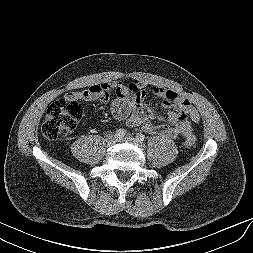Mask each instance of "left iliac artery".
I'll list each match as a JSON object with an SVG mask.
<instances>
[{
    "mask_svg": "<svg viewBox=\"0 0 253 253\" xmlns=\"http://www.w3.org/2000/svg\"><path fill=\"white\" fill-rule=\"evenodd\" d=\"M136 139H137L140 143H143L144 140H145V135L139 133V134H137Z\"/></svg>",
    "mask_w": 253,
    "mask_h": 253,
    "instance_id": "left-iliac-artery-1",
    "label": "left iliac artery"
}]
</instances>
